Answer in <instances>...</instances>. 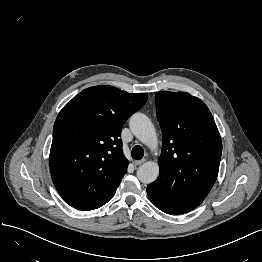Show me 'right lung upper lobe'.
Returning <instances> with one entry per match:
<instances>
[{
  "label": "right lung upper lobe",
  "mask_w": 262,
  "mask_h": 262,
  "mask_svg": "<svg viewBox=\"0 0 262 262\" xmlns=\"http://www.w3.org/2000/svg\"><path fill=\"white\" fill-rule=\"evenodd\" d=\"M148 96L107 85L69 101L53 127L50 170L61 197L79 210L97 209L114 196L127 172L121 129Z\"/></svg>",
  "instance_id": "1"
}]
</instances>
